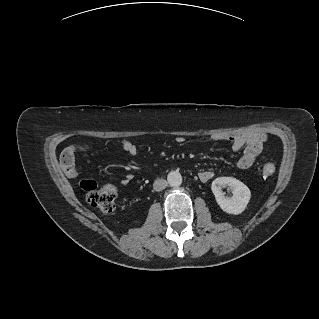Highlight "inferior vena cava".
I'll use <instances>...</instances> for the list:
<instances>
[{
	"mask_svg": "<svg viewBox=\"0 0 319 319\" xmlns=\"http://www.w3.org/2000/svg\"><path fill=\"white\" fill-rule=\"evenodd\" d=\"M168 186V183L165 179L158 178L153 183V189L157 192L164 190Z\"/></svg>",
	"mask_w": 319,
	"mask_h": 319,
	"instance_id": "obj_1",
	"label": "inferior vena cava"
}]
</instances>
